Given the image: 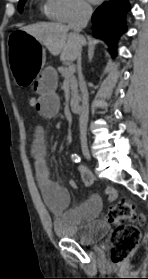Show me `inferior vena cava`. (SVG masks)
Segmentation results:
<instances>
[{"instance_id": "602c4592", "label": "inferior vena cava", "mask_w": 148, "mask_h": 279, "mask_svg": "<svg viewBox=\"0 0 148 279\" xmlns=\"http://www.w3.org/2000/svg\"><path fill=\"white\" fill-rule=\"evenodd\" d=\"M92 15V8L90 5L87 4H80L77 8L75 17L73 21L68 25V28L73 31L74 34L79 36V33L83 28H85L91 18ZM77 68H78V75H79V83L80 89L82 93V109L79 119V126H80V140L81 145L86 146L87 139H86V131H87V122H88V91L86 87V83L84 81V77L81 71V52H78L77 55Z\"/></svg>"}]
</instances>
